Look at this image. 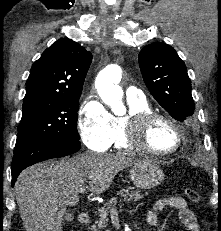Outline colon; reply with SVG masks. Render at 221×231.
Here are the masks:
<instances>
[{
    "label": "colon",
    "mask_w": 221,
    "mask_h": 231,
    "mask_svg": "<svg viewBox=\"0 0 221 231\" xmlns=\"http://www.w3.org/2000/svg\"><path fill=\"white\" fill-rule=\"evenodd\" d=\"M185 195L193 203H198L200 201L199 193L193 188L190 187L186 188Z\"/></svg>",
    "instance_id": "1"
}]
</instances>
